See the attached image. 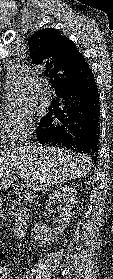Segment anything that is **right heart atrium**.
Wrapping results in <instances>:
<instances>
[{"instance_id": "d8ad5b80", "label": "right heart atrium", "mask_w": 113, "mask_h": 279, "mask_svg": "<svg viewBox=\"0 0 113 279\" xmlns=\"http://www.w3.org/2000/svg\"><path fill=\"white\" fill-rule=\"evenodd\" d=\"M1 121L6 136L11 140L23 139L34 129L33 110L24 105L7 104Z\"/></svg>"}]
</instances>
